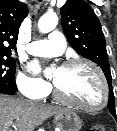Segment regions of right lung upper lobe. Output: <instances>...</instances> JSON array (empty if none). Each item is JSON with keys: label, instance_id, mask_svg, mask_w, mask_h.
<instances>
[{"label": "right lung upper lobe", "instance_id": "right-lung-upper-lobe-1", "mask_svg": "<svg viewBox=\"0 0 117 131\" xmlns=\"http://www.w3.org/2000/svg\"><path fill=\"white\" fill-rule=\"evenodd\" d=\"M27 14L24 3L0 0V52L11 53V49L16 47L19 27Z\"/></svg>", "mask_w": 117, "mask_h": 131}]
</instances>
